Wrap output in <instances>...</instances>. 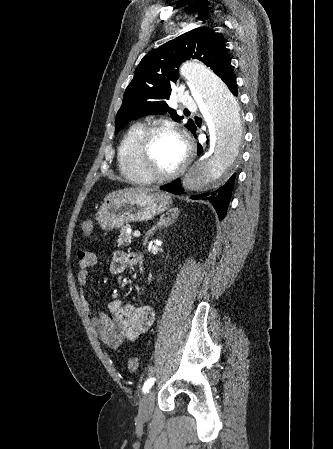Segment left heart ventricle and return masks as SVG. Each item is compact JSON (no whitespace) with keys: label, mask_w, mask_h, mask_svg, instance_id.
Here are the masks:
<instances>
[{"label":"left heart ventricle","mask_w":333,"mask_h":449,"mask_svg":"<svg viewBox=\"0 0 333 449\" xmlns=\"http://www.w3.org/2000/svg\"><path fill=\"white\" fill-rule=\"evenodd\" d=\"M184 155L181 140L175 134L160 131L152 140L148 164L156 172L168 173L181 163Z\"/></svg>","instance_id":"obj_1"}]
</instances>
